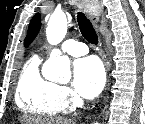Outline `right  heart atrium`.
<instances>
[{"mask_svg":"<svg viewBox=\"0 0 145 124\" xmlns=\"http://www.w3.org/2000/svg\"><path fill=\"white\" fill-rule=\"evenodd\" d=\"M58 104L62 111H70L79 104V98L69 87L58 86Z\"/></svg>","mask_w":145,"mask_h":124,"instance_id":"d8ad5b80","label":"right heart atrium"}]
</instances>
